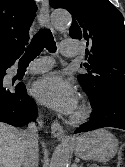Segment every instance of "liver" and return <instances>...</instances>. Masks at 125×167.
<instances>
[{
  "label": "liver",
  "instance_id": "1",
  "mask_svg": "<svg viewBox=\"0 0 125 167\" xmlns=\"http://www.w3.org/2000/svg\"><path fill=\"white\" fill-rule=\"evenodd\" d=\"M22 132L0 122V167H21Z\"/></svg>",
  "mask_w": 125,
  "mask_h": 167
}]
</instances>
